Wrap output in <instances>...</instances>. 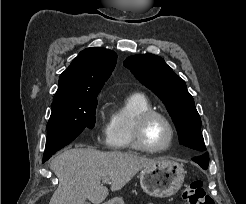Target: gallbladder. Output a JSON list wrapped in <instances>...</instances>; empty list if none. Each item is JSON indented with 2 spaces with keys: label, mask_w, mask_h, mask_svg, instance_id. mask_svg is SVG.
<instances>
[{
  "label": "gallbladder",
  "mask_w": 246,
  "mask_h": 204,
  "mask_svg": "<svg viewBox=\"0 0 246 204\" xmlns=\"http://www.w3.org/2000/svg\"><path fill=\"white\" fill-rule=\"evenodd\" d=\"M84 204H90V203L85 201Z\"/></svg>",
  "instance_id": "gallbladder-1"
}]
</instances>
